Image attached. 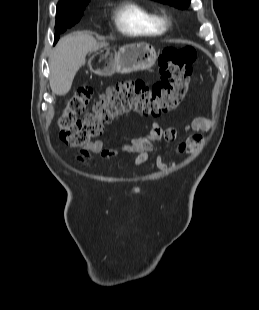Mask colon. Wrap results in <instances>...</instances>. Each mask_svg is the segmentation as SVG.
Instances as JSON below:
<instances>
[{"mask_svg":"<svg viewBox=\"0 0 259 310\" xmlns=\"http://www.w3.org/2000/svg\"><path fill=\"white\" fill-rule=\"evenodd\" d=\"M196 51L192 47H166L158 60L161 78L153 85L141 79L116 82L88 110L94 91L76 89L67 99L59 118L61 140L82 147L102 134L117 116L137 112L159 116L176 109L189 92Z\"/></svg>","mask_w":259,"mask_h":310,"instance_id":"1","label":"colon"}]
</instances>
